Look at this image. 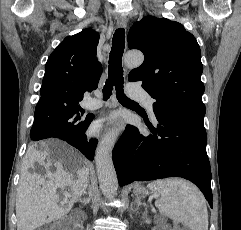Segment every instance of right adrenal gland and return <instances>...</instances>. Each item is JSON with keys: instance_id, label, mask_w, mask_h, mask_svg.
Returning a JSON list of instances; mask_svg holds the SVG:
<instances>
[{"instance_id": "1", "label": "right adrenal gland", "mask_w": 241, "mask_h": 230, "mask_svg": "<svg viewBox=\"0 0 241 230\" xmlns=\"http://www.w3.org/2000/svg\"><path fill=\"white\" fill-rule=\"evenodd\" d=\"M88 196H87V198H84V199H78V201L82 204V205H87V204H89V202H90V200H91V189L89 188V190H88Z\"/></svg>"}]
</instances>
